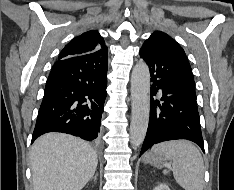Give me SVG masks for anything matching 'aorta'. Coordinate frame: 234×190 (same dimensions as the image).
<instances>
[{
  "label": "aorta",
  "instance_id": "762f6f07",
  "mask_svg": "<svg viewBox=\"0 0 234 190\" xmlns=\"http://www.w3.org/2000/svg\"><path fill=\"white\" fill-rule=\"evenodd\" d=\"M131 100L130 141L133 147H138L145 139L150 112V72L143 61L132 70Z\"/></svg>",
  "mask_w": 234,
  "mask_h": 190
}]
</instances>
